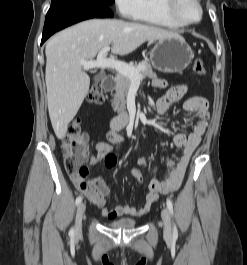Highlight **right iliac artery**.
Wrapping results in <instances>:
<instances>
[{"instance_id":"82829eb1","label":"right iliac artery","mask_w":247,"mask_h":265,"mask_svg":"<svg viewBox=\"0 0 247 265\" xmlns=\"http://www.w3.org/2000/svg\"><path fill=\"white\" fill-rule=\"evenodd\" d=\"M81 201H82V196H78L77 198H76V205H79L80 203H81ZM69 235L71 236V237H73L74 236V230H73V228L69 231Z\"/></svg>"}]
</instances>
